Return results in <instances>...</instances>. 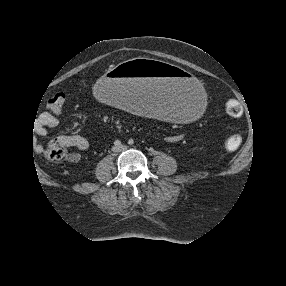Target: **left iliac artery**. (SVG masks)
<instances>
[{"label":"left iliac artery","mask_w":286,"mask_h":286,"mask_svg":"<svg viewBox=\"0 0 286 286\" xmlns=\"http://www.w3.org/2000/svg\"><path fill=\"white\" fill-rule=\"evenodd\" d=\"M133 143H134L133 139H130V140L128 141V144H129V145H132Z\"/></svg>","instance_id":"44dca946"}]
</instances>
